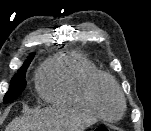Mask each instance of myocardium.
Returning a JSON list of instances; mask_svg holds the SVG:
<instances>
[{
  "mask_svg": "<svg viewBox=\"0 0 151 131\" xmlns=\"http://www.w3.org/2000/svg\"><path fill=\"white\" fill-rule=\"evenodd\" d=\"M112 90L120 100L121 108L119 114L114 118L121 117L126 110V98L118 83L108 74L98 75L91 86V101L97 113L103 118H113L108 116L102 108L101 98L106 90Z\"/></svg>",
  "mask_w": 151,
  "mask_h": 131,
  "instance_id": "myocardium-1",
  "label": "myocardium"
}]
</instances>
